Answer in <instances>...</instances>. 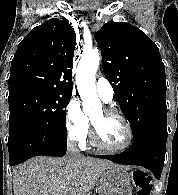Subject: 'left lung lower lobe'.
I'll list each match as a JSON object with an SVG mask.
<instances>
[{
    "label": "left lung lower lobe",
    "mask_w": 178,
    "mask_h": 195,
    "mask_svg": "<svg viewBox=\"0 0 178 195\" xmlns=\"http://www.w3.org/2000/svg\"><path fill=\"white\" fill-rule=\"evenodd\" d=\"M167 134L141 140L119 155H99L123 165H140L149 169L157 179L164 165Z\"/></svg>",
    "instance_id": "left-lung-lower-lobe-1"
}]
</instances>
